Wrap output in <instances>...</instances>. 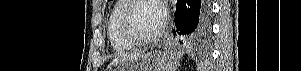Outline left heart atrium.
I'll return each mask as SVG.
<instances>
[{"instance_id":"obj_1","label":"left heart atrium","mask_w":301,"mask_h":71,"mask_svg":"<svg viewBox=\"0 0 301 71\" xmlns=\"http://www.w3.org/2000/svg\"><path fill=\"white\" fill-rule=\"evenodd\" d=\"M158 9H159V12H160L162 23L164 24L166 22V19H167V9L164 5H162L159 2H158Z\"/></svg>"}]
</instances>
